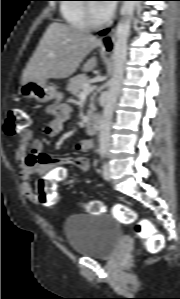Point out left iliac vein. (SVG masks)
<instances>
[{
    "mask_svg": "<svg viewBox=\"0 0 180 299\" xmlns=\"http://www.w3.org/2000/svg\"><path fill=\"white\" fill-rule=\"evenodd\" d=\"M103 178L106 181L111 180V165L108 162L105 163L104 166H103Z\"/></svg>",
    "mask_w": 180,
    "mask_h": 299,
    "instance_id": "obj_1",
    "label": "left iliac vein"
}]
</instances>
